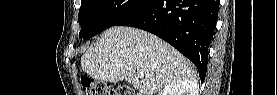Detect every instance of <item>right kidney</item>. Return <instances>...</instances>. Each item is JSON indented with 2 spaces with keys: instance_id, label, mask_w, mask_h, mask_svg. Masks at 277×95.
Listing matches in <instances>:
<instances>
[{
  "instance_id": "obj_1",
  "label": "right kidney",
  "mask_w": 277,
  "mask_h": 95,
  "mask_svg": "<svg viewBox=\"0 0 277 95\" xmlns=\"http://www.w3.org/2000/svg\"><path fill=\"white\" fill-rule=\"evenodd\" d=\"M198 86L190 80H177L168 84L158 95H196Z\"/></svg>"
}]
</instances>
